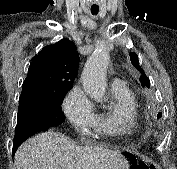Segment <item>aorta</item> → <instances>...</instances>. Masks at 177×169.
<instances>
[{"mask_svg":"<svg viewBox=\"0 0 177 169\" xmlns=\"http://www.w3.org/2000/svg\"><path fill=\"white\" fill-rule=\"evenodd\" d=\"M110 55L104 47H97L87 59L81 81L85 93L95 101H103L106 92V73Z\"/></svg>","mask_w":177,"mask_h":169,"instance_id":"obj_1","label":"aorta"}]
</instances>
